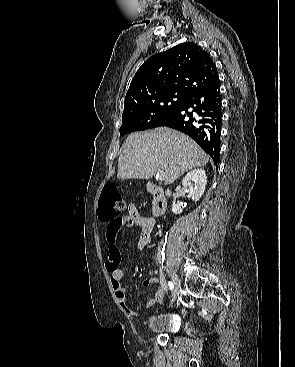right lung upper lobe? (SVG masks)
I'll list each match as a JSON object with an SVG mask.
<instances>
[{"instance_id": "cb5924a9", "label": "right lung upper lobe", "mask_w": 295, "mask_h": 367, "mask_svg": "<svg viewBox=\"0 0 295 367\" xmlns=\"http://www.w3.org/2000/svg\"><path fill=\"white\" fill-rule=\"evenodd\" d=\"M218 77L210 55L195 43L179 44L150 57L136 72L124 103V111L133 102L162 94L189 96Z\"/></svg>"}]
</instances>
